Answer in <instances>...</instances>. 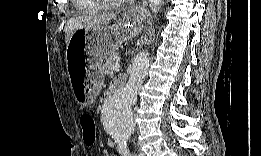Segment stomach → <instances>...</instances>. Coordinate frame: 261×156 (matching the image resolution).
Listing matches in <instances>:
<instances>
[{"mask_svg": "<svg viewBox=\"0 0 261 156\" xmlns=\"http://www.w3.org/2000/svg\"><path fill=\"white\" fill-rule=\"evenodd\" d=\"M146 15L143 7H132L113 26L80 29L72 34L66 47V61L72 91L80 105L88 106L95 101L102 84L103 59L121 40L142 31ZM82 55L87 56V63L78 69L76 61Z\"/></svg>", "mask_w": 261, "mask_h": 156, "instance_id": "stomach-1", "label": "stomach"}]
</instances>
